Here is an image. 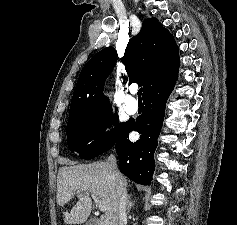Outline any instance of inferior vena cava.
Returning a JSON list of instances; mask_svg holds the SVG:
<instances>
[{
  "label": "inferior vena cava",
  "mask_w": 237,
  "mask_h": 225,
  "mask_svg": "<svg viewBox=\"0 0 237 225\" xmlns=\"http://www.w3.org/2000/svg\"><path fill=\"white\" fill-rule=\"evenodd\" d=\"M108 165L112 175L117 181V198H118V219L119 225H125L127 222V194L126 189L122 186V177L117 168L116 158L113 154L108 157Z\"/></svg>",
  "instance_id": "602c4592"
}]
</instances>
